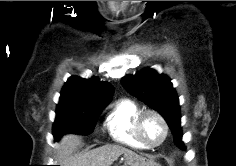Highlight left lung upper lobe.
Segmentation results:
<instances>
[{
	"mask_svg": "<svg viewBox=\"0 0 236 166\" xmlns=\"http://www.w3.org/2000/svg\"><path fill=\"white\" fill-rule=\"evenodd\" d=\"M121 82L130 93L157 110L169 126L181 121L179 99L166 75L145 68L123 77Z\"/></svg>",
	"mask_w": 236,
	"mask_h": 166,
	"instance_id": "obj_1",
	"label": "left lung upper lobe"
}]
</instances>
